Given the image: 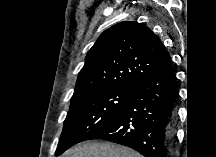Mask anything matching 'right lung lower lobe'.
Listing matches in <instances>:
<instances>
[{
    "label": "right lung lower lobe",
    "mask_w": 216,
    "mask_h": 157,
    "mask_svg": "<svg viewBox=\"0 0 216 157\" xmlns=\"http://www.w3.org/2000/svg\"><path fill=\"white\" fill-rule=\"evenodd\" d=\"M175 98L170 59L163 68L132 87L122 112L91 139L129 146L144 157H171Z\"/></svg>",
    "instance_id": "obj_1"
}]
</instances>
